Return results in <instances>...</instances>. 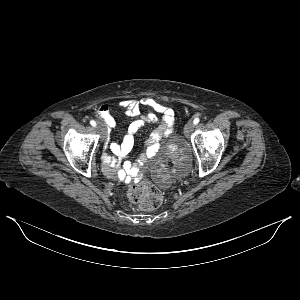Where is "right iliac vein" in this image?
<instances>
[{
  "label": "right iliac vein",
  "mask_w": 300,
  "mask_h": 300,
  "mask_svg": "<svg viewBox=\"0 0 300 300\" xmlns=\"http://www.w3.org/2000/svg\"><path fill=\"white\" fill-rule=\"evenodd\" d=\"M97 131L100 134L101 139L104 140L106 137V131H105L104 125L101 122H98V124H97Z\"/></svg>",
  "instance_id": "right-iliac-vein-1"
}]
</instances>
